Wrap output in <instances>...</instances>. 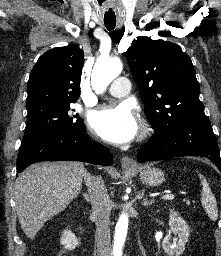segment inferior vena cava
Wrapping results in <instances>:
<instances>
[{
    "instance_id": "1",
    "label": "inferior vena cava",
    "mask_w": 221,
    "mask_h": 256,
    "mask_svg": "<svg viewBox=\"0 0 221 256\" xmlns=\"http://www.w3.org/2000/svg\"><path fill=\"white\" fill-rule=\"evenodd\" d=\"M84 181L89 191L92 215L96 224L97 255L112 256L109 219L111 201L107 189L103 180L99 177L86 174Z\"/></svg>"
}]
</instances>
